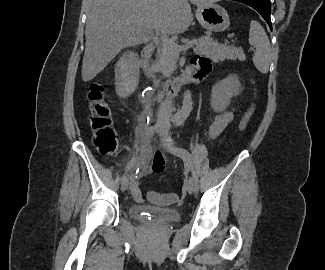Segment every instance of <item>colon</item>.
I'll return each mask as SVG.
<instances>
[{
  "label": "colon",
  "mask_w": 325,
  "mask_h": 270,
  "mask_svg": "<svg viewBox=\"0 0 325 270\" xmlns=\"http://www.w3.org/2000/svg\"><path fill=\"white\" fill-rule=\"evenodd\" d=\"M89 109V124L93 133V142L98 151L104 156H111L116 151L117 134L112 127L110 108L104 98L103 87L93 83L87 95ZM255 110L253 103L243 115L239 129L243 131L249 123ZM148 199L159 205H169L179 200L176 193L162 194L154 191L148 193Z\"/></svg>",
  "instance_id": "1"
}]
</instances>
